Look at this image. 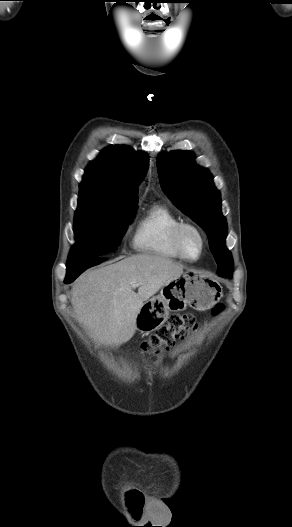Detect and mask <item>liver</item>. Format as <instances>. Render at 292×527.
Instances as JSON below:
<instances>
[{"label":"liver","instance_id":"obj_1","mask_svg":"<svg viewBox=\"0 0 292 527\" xmlns=\"http://www.w3.org/2000/svg\"><path fill=\"white\" fill-rule=\"evenodd\" d=\"M183 265L153 254H138L80 276L72 287L76 319L105 346H120L136 331L145 301L181 277ZM138 284V292L132 284Z\"/></svg>","mask_w":292,"mask_h":527}]
</instances>
